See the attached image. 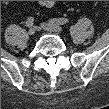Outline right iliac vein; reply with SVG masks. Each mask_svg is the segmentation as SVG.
I'll use <instances>...</instances> for the list:
<instances>
[{"instance_id":"right-iliac-vein-1","label":"right iliac vein","mask_w":109,"mask_h":109,"mask_svg":"<svg viewBox=\"0 0 109 109\" xmlns=\"http://www.w3.org/2000/svg\"><path fill=\"white\" fill-rule=\"evenodd\" d=\"M35 33H36V29L34 27H32L28 30L29 35H34Z\"/></svg>"}]
</instances>
